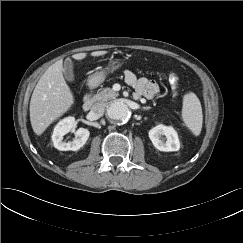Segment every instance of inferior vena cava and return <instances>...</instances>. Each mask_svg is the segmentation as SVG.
<instances>
[{
	"mask_svg": "<svg viewBox=\"0 0 243 243\" xmlns=\"http://www.w3.org/2000/svg\"><path fill=\"white\" fill-rule=\"evenodd\" d=\"M105 112V105L103 103H96L91 108V114L96 117H102Z\"/></svg>",
	"mask_w": 243,
	"mask_h": 243,
	"instance_id": "1",
	"label": "inferior vena cava"
}]
</instances>
